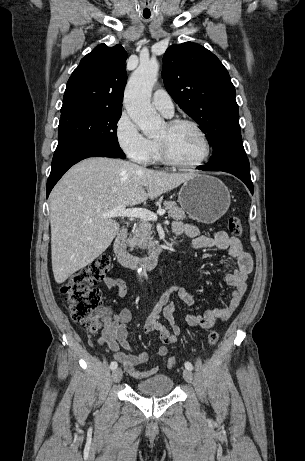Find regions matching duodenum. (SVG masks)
<instances>
[{
    "label": "duodenum",
    "mask_w": 305,
    "mask_h": 461,
    "mask_svg": "<svg viewBox=\"0 0 305 461\" xmlns=\"http://www.w3.org/2000/svg\"><path fill=\"white\" fill-rule=\"evenodd\" d=\"M127 237L126 228H122L116 235L113 242V256L115 261L125 267L139 268L144 267L146 269H154L160 260L161 250L154 249L146 257L139 258L130 253L125 249Z\"/></svg>",
    "instance_id": "410a0bca"
}]
</instances>
